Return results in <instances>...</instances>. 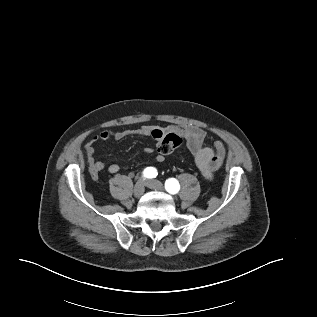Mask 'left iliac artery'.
I'll list each match as a JSON object with an SVG mask.
<instances>
[{"instance_id":"1","label":"left iliac artery","mask_w":317,"mask_h":317,"mask_svg":"<svg viewBox=\"0 0 317 317\" xmlns=\"http://www.w3.org/2000/svg\"><path fill=\"white\" fill-rule=\"evenodd\" d=\"M165 188L169 193L175 194L180 190V184H179L177 179L170 178V179L166 180Z\"/></svg>"}]
</instances>
